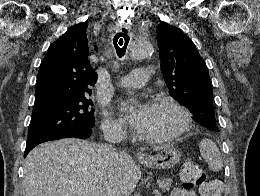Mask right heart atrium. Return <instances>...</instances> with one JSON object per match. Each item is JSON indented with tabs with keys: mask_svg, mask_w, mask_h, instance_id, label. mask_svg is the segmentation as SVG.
I'll return each mask as SVG.
<instances>
[{
	"mask_svg": "<svg viewBox=\"0 0 260 196\" xmlns=\"http://www.w3.org/2000/svg\"><path fill=\"white\" fill-rule=\"evenodd\" d=\"M102 127L104 130L123 129V125H122L121 121L118 120L117 118L113 117L108 112H104Z\"/></svg>",
	"mask_w": 260,
	"mask_h": 196,
	"instance_id": "d8ad5b80",
	"label": "right heart atrium"
}]
</instances>
